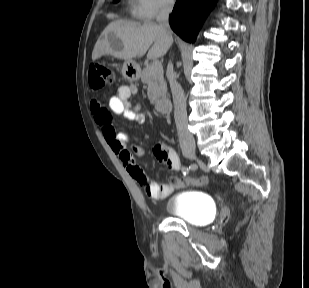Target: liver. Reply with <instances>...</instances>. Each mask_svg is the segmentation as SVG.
Masks as SVG:
<instances>
[{
	"label": "liver",
	"mask_w": 309,
	"mask_h": 288,
	"mask_svg": "<svg viewBox=\"0 0 309 288\" xmlns=\"http://www.w3.org/2000/svg\"><path fill=\"white\" fill-rule=\"evenodd\" d=\"M112 35L121 41V49L116 50L111 45ZM172 41L173 39L170 41L165 36L159 24L116 20L109 23L98 38L92 52V60L95 61L103 55H111L124 60L140 58L148 50L147 57L154 59L164 56Z\"/></svg>",
	"instance_id": "6515ba94"
}]
</instances>
